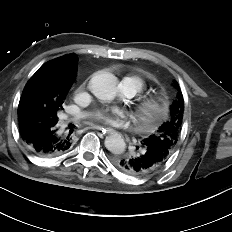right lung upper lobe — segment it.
<instances>
[{"label":"right lung upper lobe","mask_w":232,"mask_h":232,"mask_svg":"<svg viewBox=\"0 0 232 232\" xmlns=\"http://www.w3.org/2000/svg\"><path fill=\"white\" fill-rule=\"evenodd\" d=\"M77 61L75 54H68L45 63L30 78L25 89L34 83L40 76L46 77L51 81L58 82L65 88L70 89L76 76Z\"/></svg>","instance_id":"cb5924a9"}]
</instances>
